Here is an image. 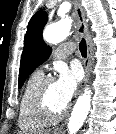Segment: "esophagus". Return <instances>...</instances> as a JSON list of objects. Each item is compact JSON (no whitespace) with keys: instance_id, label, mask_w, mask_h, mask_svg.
I'll list each match as a JSON object with an SVG mask.
<instances>
[{"instance_id":"34e87169","label":"esophagus","mask_w":116,"mask_h":134,"mask_svg":"<svg viewBox=\"0 0 116 134\" xmlns=\"http://www.w3.org/2000/svg\"><path fill=\"white\" fill-rule=\"evenodd\" d=\"M75 16L77 18V23H78V33L85 37L86 43H87V57L84 59L83 65L85 69V76L83 79L84 85L87 82L88 76H89V71H90V62L92 58V43L89 35V30H88V25L85 19V13L84 10L80 4V1H77L75 3ZM62 130V127L57 129V132H60Z\"/></svg>"}]
</instances>
